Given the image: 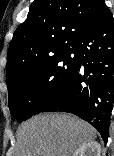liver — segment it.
<instances>
[{
	"label": "liver",
	"mask_w": 114,
	"mask_h": 156,
	"mask_svg": "<svg viewBox=\"0 0 114 156\" xmlns=\"http://www.w3.org/2000/svg\"><path fill=\"white\" fill-rule=\"evenodd\" d=\"M96 133L73 115L39 114L18 129L15 156H71L81 145L95 140Z\"/></svg>",
	"instance_id": "1"
}]
</instances>
